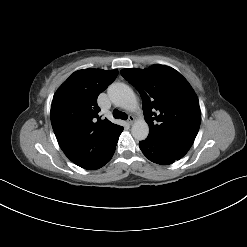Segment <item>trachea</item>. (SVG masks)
<instances>
[{
    "label": "trachea",
    "instance_id": "1",
    "mask_svg": "<svg viewBox=\"0 0 247 247\" xmlns=\"http://www.w3.org/2000/svg\"><path fill=\"white\" fill-rule=\"evenodd\" d=\"M113 117L115 119H122V120H126L128 118V115L125 112H121L118 109H115L113 111Z\"/></svg>",
    "mask_w": 247,
    "mask_h": 247
}]
</instances>
